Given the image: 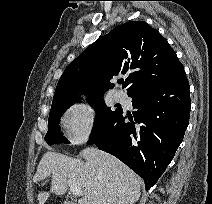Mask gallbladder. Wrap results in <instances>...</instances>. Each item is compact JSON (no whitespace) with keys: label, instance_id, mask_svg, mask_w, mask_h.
I'll use <instances>...</instances> for the list:
<instances>
[{"label":"gallbladder","instance_id":"gallbladder-1","mask_svg":"<svg viewBox=\"0 0 212 204\" xmlns=\"http://www.w3.org/2000/svg\"><path fill=\"white\" fill-rule=\"evenodd\" d=\"M64 204H70L67 200L64 202Z\"/></svg>","mask_w":212,"mask_h":204}]
</instances>
